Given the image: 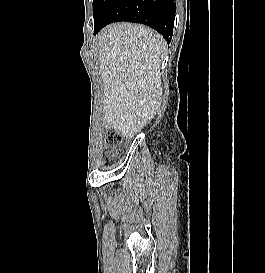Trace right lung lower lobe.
I'll return each mask as SVG.
<instances>
[{
  "label": "right lung lower lobe",
  "instance_id": "obj_1",
  "mask_svg": "<svg viewBox=\"0 0 265 273\" xmlns=\"http://www.w3.org/2000/svg\"><path fill=\"white\" fill-rule=\"evenodd\" d=\"M175 11L174 0H113L101 23L94 27V34L109 23L129 21L155 29L169 43L173 35Z\"/></svg>",
  "mask_w": 265,
  "mask_h": 273
}]
</instances>
